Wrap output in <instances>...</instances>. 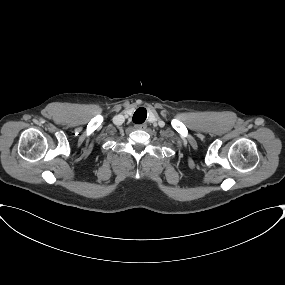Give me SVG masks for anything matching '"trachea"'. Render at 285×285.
<instances>
[{"label": "trachea", "mask_w": 285, "mask_h": 285, "mask_svg": "<svg viewBox=\"0 0 285 285\" xmlns=\"http://www.w3.org/2000/svg\"><path fill=\"white\" fill-rule=\"evenodd\" d=\"M147 110L143 107L138 108L133 115V122L137 124H141L146 120Z\"/></svg>", "instance_id": "obj_1"}]
</instances>
